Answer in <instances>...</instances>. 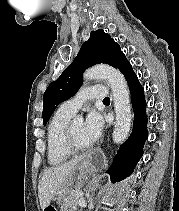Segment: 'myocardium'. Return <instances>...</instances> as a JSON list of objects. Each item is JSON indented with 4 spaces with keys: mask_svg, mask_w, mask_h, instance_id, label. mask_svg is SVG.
I'll return each instance as SVG.
<instances>
[{
    "mask_svg": "<svg viewBox=\"0 0 179 211\" xmlns=\"http://www.w3.org/2000/svg\"><path fill=\"white\" fill-rule=\"evenodd\" d=\"M64 143L66 149L71 153V154H77V153H83L91 149L92 145H80L74 136L73 132V121H70L66 127L65 131V137H64Z\"/></svg>",
    "mask_w": 179,
    "mask_h": 211,
    "instance_id": "myocardium-1",
    "label": "myocardium"
}]
</instances>
